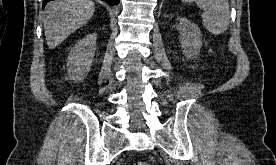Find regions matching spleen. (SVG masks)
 <instances>
[{
  "instance_id": "obj_1",
  "label": "spleen",
  "mask_w": 276,
  "mask_h": 165,
  "mask_svg": "<svg viewBox=\"0 0 276 165\" xmlns=\"http://www.w3.org/2000/svg\"><path fill=\"white\" fill-rule=\"evenodd\" d=\"M182 2L195 1L204 11L202 18L205 28L212 34L225 32L230 23L228 0H181Z\"/></svg>"
}]
</instances>
